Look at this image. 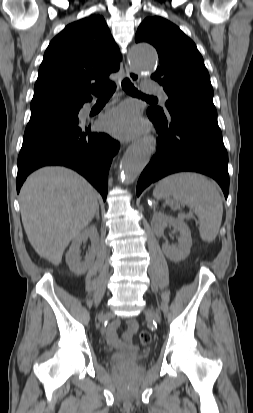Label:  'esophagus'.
Here are the masks:
<instances>
[{"instance_id": "obj_1", "label": "esophagus", "mask_w": 253, "mask_h": 413, "mask_svg": "<svg viewBox=\"0 0 253 413\" xmlns=\"http://www.w3.org/2000/svg\"><path fill=\"white\" fill-rule=\"evenodd\" d=\"M126 72H127V76L133 81V82H138L140 80V75L134 71L133 69L129 68L128 66H126ZM150 139L152 140L153 137H150ZM152 149H155V145L152 144Z\"/></svg>"}]
</instances>
